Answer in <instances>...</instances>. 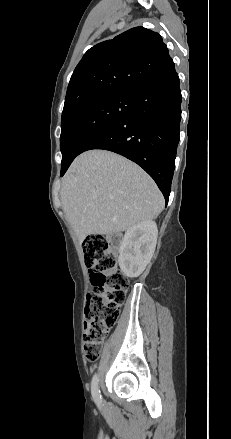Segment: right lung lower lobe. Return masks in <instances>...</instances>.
<instances>
[{"label": "right lung lower lobe", "instance_id": "right-lung-lower-lobe-1", "mask_svg": "<svg viewBox=\"0 0 231 439\" xmlns=\"http://www.w3.org/2000/svg\"><path fill=\"white\" fill-rule=\"evenodd\" d=\"M134 109L93 134L79 154L109 150L134 161L156 182L168 202L181 120V91L175 68L134 92ZM66 166L61 170L64 175Z\"/></svg>", "mask_w": 231, "mask_h": 439}]
</instances>
